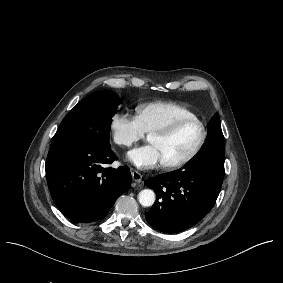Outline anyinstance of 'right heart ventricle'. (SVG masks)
I'll use <instances>...</instances> for the list:
<instances>
[{
	"instance_id": "obj_1",
	"label": "right heart ventricle",
	"mask_w": 283,
	"mask_h": 283,
	"mask_svg": "<svg viewBox=\"0 0 283 283\" xmlns=\"http://www.w3.org/2000/svg\"><path fill=\"white\" fill-rule=\"evenodd\" d=\"M135 111L144 132L148 134L163 130L179 117L193 115L178 104L163 101L140 104Z\"/></svg>"
}]
</instances>
